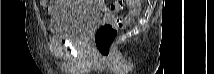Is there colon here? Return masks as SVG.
<instances>
[{"label": "colon", "mask_w": 214, "mask_h": 74, "mask_svg": "<svg viewBox=\"0 0 214 74\" xmlns=\"http://www.w3.org/2000/svg\"><path fill=\"white\" fill-rule=\"evenodd\" d=\"M130 11L125 16H119L111 22L101 24L93 35V44L98 54L102 57H109L112 52V45L119 30L124 29L140 14L141 1L127 0ZM124 1H112V11H119L123 8Z\"/></svg>", "instance_id": "5ec220e1"}]
</instances>
